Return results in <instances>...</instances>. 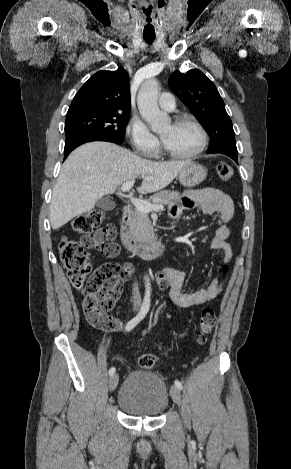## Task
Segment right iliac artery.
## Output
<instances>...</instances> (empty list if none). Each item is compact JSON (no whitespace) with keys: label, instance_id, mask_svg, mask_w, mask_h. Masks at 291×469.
I'll return each instance as SVG.
<instances>
[{"label":"right iliac artery","instance_id":"1","mask_svg":"<svg viewBox=\"0 0 291 469\" xmlns=\"http://www.w3.org/2000/svg\"><path fill=\"white\" fill-rule=\"evenodd\" d=\"M149 308H150V297L145 296L139 313L126 324L125 331L127 332L131 331L146 316V314L149 311ZM114 373H115V368L111 367L109 369V375L112 376Z\"/></svg>","mask_w":291,"mask_h":469}]
</instances>
